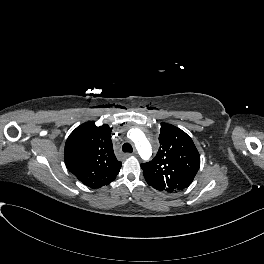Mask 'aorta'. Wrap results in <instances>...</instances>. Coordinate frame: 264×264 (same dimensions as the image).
<instances>
[{
    "label": "aorta",
    "instance_id": "762f6f07",
    "mask_svg": "<svg viewBox=\"0 0 264 264\" xmlns=\"http://www.w3.org/2000/svg\"><path fill=\"white\" fill-rule=\"evenodd\" d=\"M134 141L136 143V146L138 147L140 154L143 157H149L151 155V147L148 142V140L139 133L135 138Z\"/></svg>",
    "mask_w": 264,
    "mask_h": 264
}]
</instances>
